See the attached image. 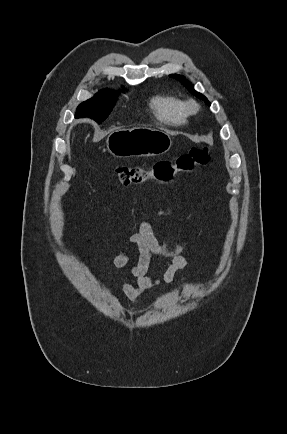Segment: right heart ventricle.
Returning a JSON list of instances; mask_svg holds the SVG:
<instances>
[{"instance_id":"right-heart-ventricle-1","label":"right heart ventricle","mask_w":287,"mask_h":434,"mask_svg":"<svg viewBox=\"0 0 287 434\" xmlns=\"http://www.w3.org/2000/svg\"><path fill=\"white\" fill-rule=\"evenodd\" d=\"M155 117L167 124H183L187 112L183 102L173 95H157L151 101Z\"/></svg>"}]
</instances>
